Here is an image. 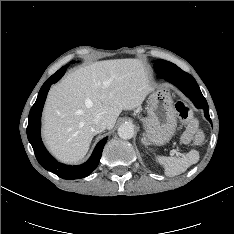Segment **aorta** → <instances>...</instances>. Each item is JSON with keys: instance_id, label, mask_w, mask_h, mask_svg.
I'll return each mask as SVG.
<instances>
[{"instance_id": "1", "label": "aorta", "mask_w": 234, "mask_h": 234, "mask_svg": "<svg viewBox=\"0 0 234 234\" xmlns=\"http://www.w3.org/2000/svg\"><path fill=\"white\" fill-rule=\"evenodd\" d=\"M118 135L120 138L128 140L134 135V128L131 124L125 123L118 128Z\"/></svg>"}]
</instances>
